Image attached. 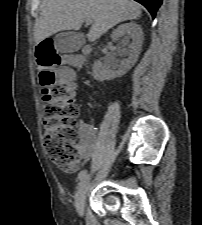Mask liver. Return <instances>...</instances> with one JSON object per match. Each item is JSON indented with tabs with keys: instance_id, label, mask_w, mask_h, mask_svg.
<instances>
[{
	"instance_id": "obj_1",
	"label": "liver",
	"mask_w": 202,
	"mask_h": 225,
	"mask_svg": "<svg viewBox=\"0 0 202 225\" xmlns=\"http://www.w3.org/2000/svg\"><path fill=\"white\" fill-rule=\"evenodd\" d=\"M140 16L141 6L132 0H43L34 39L39 44L59 31L79 30L89 19L87 38L94 42L116 24Z\"/></svg>"
}]
</instances>
